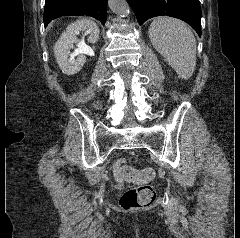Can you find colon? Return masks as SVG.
Masks as SVG:
<instances>
[{
  "label": "colon",
  "instance_id": "1",
  "mask_svg": "<svg viewBox=\"0 0 240 238\" xmlns=\"http://www.w3.org/2000/svg\"><path fill=\"white\" fill-rule=\"evenodd\" d=\"M151 168L137 170L131 166H122L119 171L120 181H129L138 185L125 190L119 200L120 207L125 211L139 210L151 206L155 200V191L146 184L154 177Z\"/></svg>",
  "mask_w": 240,
  "mask_h": 238
}]
</instances>
